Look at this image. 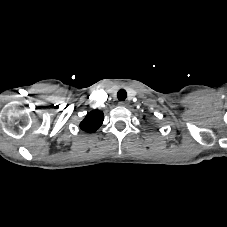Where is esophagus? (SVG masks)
Here are the masks:
<instances>
[{
	"instance_id": "obj_1",
	"label": "esophagus",
	"mask_w": 227,
	"mask_h": 227,
	"mask_svg": "<svg viewBox=\"0 0 227 227\" xmlns=\"http://www.w3.org/2000/svg\"><path fill=\"white\" fill-rule=\"evenodd\" d=\"M119 105H120V106H126V102L120 101V102H119Z\"/></svg>"
}]
</instances>
